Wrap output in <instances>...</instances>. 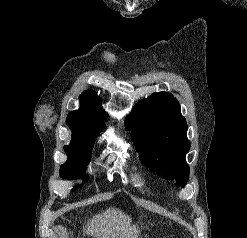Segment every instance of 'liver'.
I'll return each mask as SVG.
<instances>
[{"mask_svg": "<svg viewBox=\"0 0 247 238\" xmlns=\"http://www.w3.org/2000/svg\"><path fill=\"white\" fill-rule=\"evenodd\" d=\"M86 233L92 238H138V229L131 225V219L115 209L93 216Z\"/></svg>", "mask_w": 247, "mask_h": 238, "instance_id": "liver-1", "label": "liver"}]
</instances>
